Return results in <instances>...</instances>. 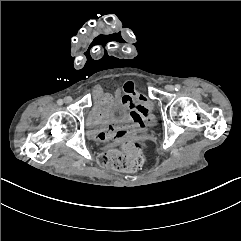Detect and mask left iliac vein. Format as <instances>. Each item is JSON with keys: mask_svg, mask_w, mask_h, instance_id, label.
<instances>
[{"mask_svg": "<svg viewBox=\"0 0 241 241\" xmlns=\"http://www.w3.org/2000/svg\"><path fill=\"white\" fill-rule=\"evenodd\" d=\"M165 89L169 92H172L174 90V86L173 85H166Z\"/></svg>", "mask_w": 241, "mask_h": 241, "instance_id": "4c4485c4", "label": "left iliac vein"}]
</instances>
